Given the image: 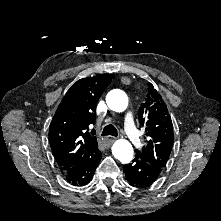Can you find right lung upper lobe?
<instances>
[{
    "label": "right lung upper lobe",
    "instance_id": "cb5924a9",
    "mask_svg": "<svg viewBox=\"0 0 221 221\" xmlns=\"http://www.w3.org/2000/svg\"><path fill=\"white\" fill-rule=\"evenodd\" d=\"M113 78L111 74H101L78 80L56 110L49 127V141L62 173L97 147L95 133L89 132V126L95 124L98 100Z\"/></svg>",
    "mask_w": 221,
    "mask_h": 221
}]
</instances>
